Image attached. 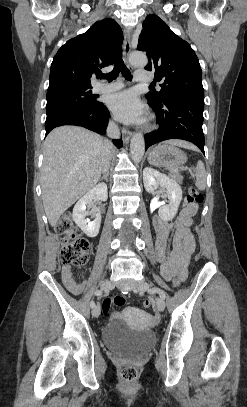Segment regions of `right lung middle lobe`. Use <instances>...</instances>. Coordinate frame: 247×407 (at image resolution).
Returning <instances> with one entry per match:
<instances>
[{
	"mask_svg": "<svg viewBox=\"0 0 247 407\" xmlns=\"http://www.w3.org/2000/svg\"><path fill=\"white\" fill-rule=\"evenodd\" d=\"M92 87L65 86L47 91L46 111L63 106L95 107L99 102Z\"/></svg>",
	"mask_w": 247,
	"mask_h": 407,
	"instance_id": "right-lung-middle-lobe-1",
	"label": "right lung middle lobe"
}]
</instances>
